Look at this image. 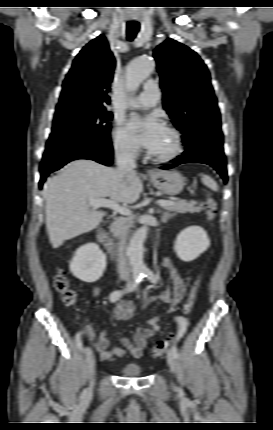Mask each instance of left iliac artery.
Wrapping results in <instances>:
<instances>
[{"mask_svg": "<svg viewBox=\"0 0 273 430\" xmlns=\"http://www.w3.org/2000/svg\"><path fill=\"white\" fill-rule=\"evenodd\" d=\"M142 274L144 277H146L151 282H153V283L157 282V278H156L155 274L150 269L143 270ZM177 321L179 322V336H178V338H179L187 332L188 327H187V323L184 321L183 315H178ZM171 351L173 352L175 357H178V349H177L175 344L172 346Z\"/></svg>", "mask_w": 273, "mask_h": 430, "instance_id": "left-iliac-artery-1", "label": "left iliac artery"}]
</instances>
